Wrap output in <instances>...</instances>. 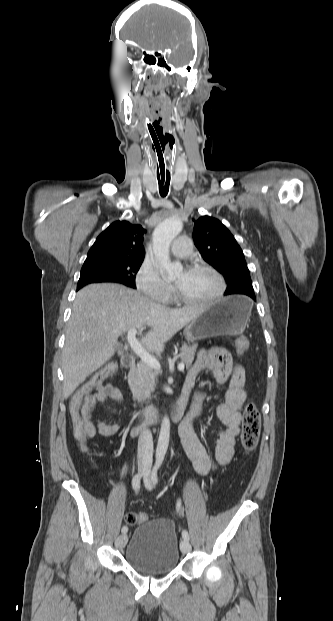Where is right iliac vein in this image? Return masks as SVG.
I'll use <instances>...</instances> for the list:
<instances>
[{
	"instance_id": "obj_1",
	"label": "right iliac vein",
	"mask_w": 333,
	"mask_h": 621,
	"mask_svg": "<svg viewBox=\"0 0 333 621\" xmlns=\"http://www.w3.org/2000/svg\"><path fill=\"white\" fill-rule=\"evenodd\" d=\"M139 471L142 472L143 474L145 473V468L143 465L139 466ZM127 541H128L127 534H122L116 539L115 546L119 549H122L125 547Z\"/></svg>"
}]
</instances>
